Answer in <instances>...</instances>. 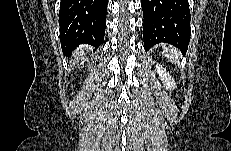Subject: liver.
Segmentation results:
<instances>
[{
    "label": "liver",
    "instance_id": "6515ba94",
    "mask_svg": "<svg viewBox=\"0 0 231 151\" xmlns=\"http://www.w3.org/2000/svg\"><path fill=\"white\" fill-rule=\"evenodd\" d=\"M84 50H85L86 52H88V51L90 50V48H89V47H85ZM84 50H83V51L78 50V51L75 53V56H74L75 61L78 62V61L82 58V56L85 54Z\"/></svg>",
    "mask_w": 231,
    "mask_h": 151
}]
</instances>
